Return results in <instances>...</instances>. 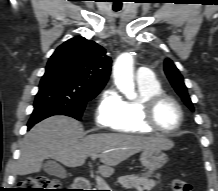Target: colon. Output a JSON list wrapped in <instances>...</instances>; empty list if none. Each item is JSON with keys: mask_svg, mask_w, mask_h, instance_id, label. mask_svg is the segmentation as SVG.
Listing matches in <instances>:
<instances>
[{"mask_svg": "<svg viewBox=\"0 0 218 191\" xmlns=\"http://www.w3.org/2000/svg\"><path fill=\"white\" fill-rule=\"evenodd\" d=\"M174 191H192V185L181 178H174L171 181ZM18 191H65L60 183L49 177L37 175L29 177L20 183Z\"/></svg>", "mask_w": 218, "mask_h": 191, "instance_id": "1", "label": "colon"}]
</instances>
